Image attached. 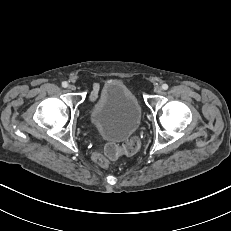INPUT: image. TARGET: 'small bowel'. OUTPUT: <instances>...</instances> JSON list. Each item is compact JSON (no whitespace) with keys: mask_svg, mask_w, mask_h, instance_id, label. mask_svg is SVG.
Instances as JSON below:
<instances>
[{"mask_svg":"<svg viewBox=\"0 0 231 231\" xmlns=\"http://www.w3.org/2000/svg\"><path fill=\"white\" fill-rule=\"evenodd\" d=\"M98 85H94L91 89V92H90V99L92 101L96 100V98L98 97Z\"/></svg>","mask_w":231,"mask_h":231,"instance_id":"obj_1","label":"small bowel"}]
</instances>
